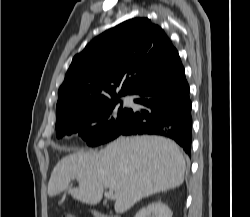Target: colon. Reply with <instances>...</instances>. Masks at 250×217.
Instances as JSON below:
<instances>
[{
    "instance_id": "5ec220e1",
    "label": "colon",
    "mask_w": 250,
    "mask_h": 217,
    "mask_svg": "<svg viewBox=\"0 0 250 217\" xmlns=\"http://www.w3.org/2000/svg\"><path fill=\"white\" fill-rule=\"evenodd\" d=\"M61 217H76V215L74 213H71V212H65L62 214Z\"/></svg>"
}]
</instances>
